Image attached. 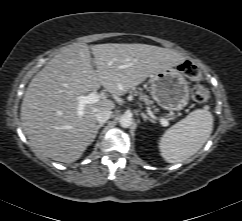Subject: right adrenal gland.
<instances>
[{
	"mask_svg": "<svg viewBox=\"0 0 242 221\" xmlns=\"http://www.w3.org/2000/svg\"><path fill=\"white\" fill-rule=\"evenodd\" d=\"M103 125H104V124L101 123V124H98V125L96 126L95 133H94V138L96 137V135H97L99 129H100Z\"/></svg>",
	"mask_w": 242,
	"mask_h": 221,
	"instance_id": "1",
	"label": "right adrenal gland"
}]
</instances>
